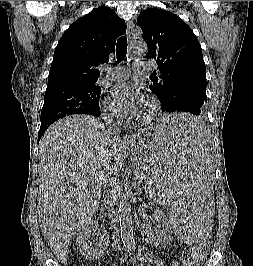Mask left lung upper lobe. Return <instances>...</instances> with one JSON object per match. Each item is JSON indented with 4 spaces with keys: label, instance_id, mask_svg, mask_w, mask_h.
<instances>
[{
    "label": "left lung upper lobe",
    "instance_id": "obj_1",
    "mask_svg": "<svg viewBox=\"0 0 253 266\" xmlns=\"http://www.w3.org/2000/svg\"><path fill=\"white\" fill-rule=\"evenodd\" d=\"M137 24L148 45L146 58L155 59L162 75L151 79L149 88L162 109L173 103L183 89L199 91L206 98V67L200 43L191 28L178 16L158 8L141 12ZM205 112L198 116L203 120Z\"/></svg>",
    "mask_w": 253,
    "mask_h": 266
}]
</instances>
